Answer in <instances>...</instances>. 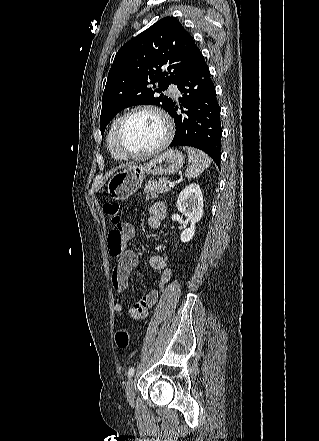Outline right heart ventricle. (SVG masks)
I'll return each instance as SVG.
<instances>
[{
	"label": "right heart ventricle",
	"instance_id": "obj_1",
	"mask_svg": "<svg viewBox=\"0 0 319 441\" xmlns=\"http://www.w3.org/2000/svg\"><path fill=\"white\" fill-rule=\"evenodd\" d=\"M120 119V116L116 117L113 122L111 123V126L109 128L108 131V135H107V146H108V150L111 154V156L118 160V161H124L127 159V157H125L116 147L115 144V129H116V125L118 123Z\"/></svg>",
	"mask_w": 319,
	"mask_h": 441
}]
</instances>
